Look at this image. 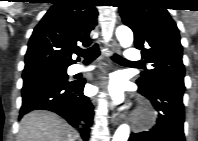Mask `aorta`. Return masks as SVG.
I'll use <instances>...</instances> for the list:
<instances>
[{
    "mask_svg": "<svg viewBox=\"0 0 198 141\" xmlns=\"http://www.w3.org/2000/svg\"><path fill=\"white\" fill-rule=\"evenodd\" d=\"M117 39L123 48L130 47L133 43V33L131 29L126 26H119L116 29ZM130 135V127L127 124H121L114 136L112 141H127Z\"/></svg>",
    "mask_w": 198,
    "mask_h": 141,
    "instance_id": "obj_1",
    "label": "aorta"
}]
</instances>
